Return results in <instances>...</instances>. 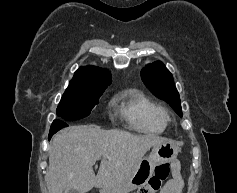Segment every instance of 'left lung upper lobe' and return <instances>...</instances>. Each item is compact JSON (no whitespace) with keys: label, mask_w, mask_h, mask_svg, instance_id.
Masks as SVG:
<instances>
[{"label":"left lung upper lobe","mask_w":237,"mask_h":193,"mask_svg":"<svg viewBox=\"0 0 237 193\" xmlns=\"http://www.w3.org/2000/svg\"><path fill=\"white\" fill-rule=\"evenodd\" d=\"M141 78L158 98L165 100L179 116H182L180 98L173 76L162 62L157 61L143 68Z\"/></svg>","instance_id":"left-lung-upper-lobe-1"}]
</instances>
